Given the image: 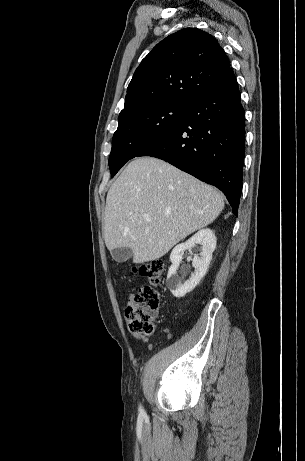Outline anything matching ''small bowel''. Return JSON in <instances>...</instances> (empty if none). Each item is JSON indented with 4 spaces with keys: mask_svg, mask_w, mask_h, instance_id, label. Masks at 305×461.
Returning a JSON list of instances; mask_svg holds the SVG:
<instances>
[{
    "mask_svg": "<svg viewBox=\"0 0 305 461\" xmlns=\"http://www.w3.org/2000/svg\"><path fill=\"white\" fill-rule=\"evenodd\" d=\"M133 298H134V295L130 294L128 297L127 305L132 301Z\"/></svg>",
    "mask_w": 305,
    "mask_h": 461,
    "instance_id": "obj_1",
    "label": "small bowel"
}]
</instances>
